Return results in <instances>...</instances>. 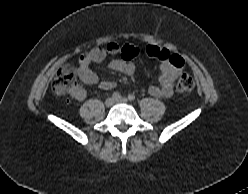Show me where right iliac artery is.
Wrapping results in <instances>:
<instances>
[{"mask_svg":"<svg viewBox=\"0 0 248 194\" xmlns=\"http://www.w3.org/2000/svg\"><path fill=\"white\" fill-rule=\"evenodd\" d=\"M112 98L115 99V100H117V99H120V98H121V95H120V93H118V92H114V93L112 94Z\"/></svg>","mask_w":248,"mask_h":194,"instance_id":"82829eb1","label":"right iliac artery"}]
</instances>
